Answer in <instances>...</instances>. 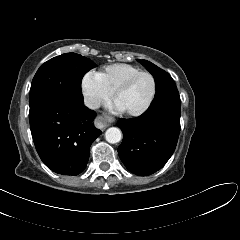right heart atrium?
Instances as JSON below:
<instances>
[{
    "label": "right heart atrium",
    "instance_id": "1",
    "mask_svg": "<svg viewBox=\"0 0 240 240\" xmlns=\"http://www.w3.org/2000/svg\"><path fill=\"white\" fill-rule=\"evenodd\" d=\"M81 87L85 101L91 108H98L108 102L114 93L93 73L82 78Z\"/></svg>",
    "mask_w": 240,
    "mask_h": 240
}]
</instances>
